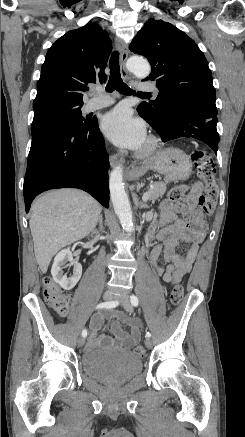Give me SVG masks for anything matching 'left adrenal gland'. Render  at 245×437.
Masks as SVG:
<instances>
[{
  "instance_id": "a2214340",
  "label": "left adrenal gland",
  "mask_w": 245,
  "mask_h": 437,
  "mask_svg": "<svg viewBox=\"0 0 245 437\" xmlns=\"http://www.w3.org/2000/svg\"><path fill=\"white\" fill-rule=\"evenodd\" d=\"M132 197H133V201H134V204L136 207L141 208V209L142 208H144V209L149 208L147 204L139 201V199L135 193H132Z\"/></svg>"
}]
</instances>
